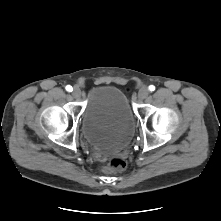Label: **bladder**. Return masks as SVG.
Here are the masks:
<instances>
[{"label":"bladder","instance_id":"bladder-1","mask_svg":"<svg viewBox=\"0 0 221 221\" xmlns=\"http://www.w3.org/2000/svg\"><path fill=\"white\" fill-rule=\"evenodd\" d=\"M135 129V117L125 94L111 85H98L88 93L81 115L86 142L104 155L123 150Z\"/></svg>","mask_w":221,"mask_h":221}]
</instances>
